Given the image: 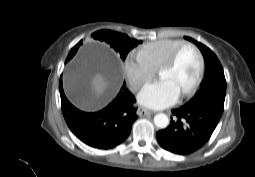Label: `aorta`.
<instances>
[{"label":"aorta","mask_w":255,"mask_h":177,"mask_svg":"<svg viewBox=\"0 0 255 177\" xmlns=\"http://www.w3.org/2000/svg\"><path fill=\"white\" fill-rule=\"evenodd\" d=\"M154 123L158 128L164 129L169 125L168 116L164 113H158L154 117Z\"/></svg>","instance_id":"1"}]
</instances>
